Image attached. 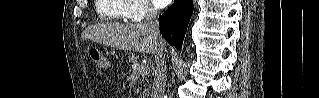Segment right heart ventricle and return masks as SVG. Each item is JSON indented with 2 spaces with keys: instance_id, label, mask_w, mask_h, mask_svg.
<instances>
[{
  "instance_id": "obj_1",
  "label": "right heart ventricle",
  "mask_w": 319,
  "mask_h": 98,
  "mask_svg": "<svg viewBox=\"0 0 319 98\" xmlns=\"http://www.w3.org/2000/svg\"><path fill=\"white\" fill-rule=\"evenodd\" d=\"M131 8L130 1L126 0H98L97 12L102 19L119 20L127 16Z\"/></svg>"
}]
</instances>
